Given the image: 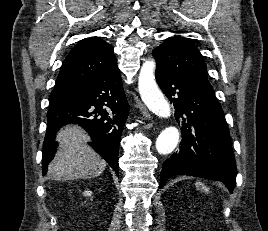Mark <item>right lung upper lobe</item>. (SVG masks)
<instances>
[{"mask_svg": "<svg viewBox=\"0 0 268 231\" xmlns=\"http://www.w3.org/2000/svg\"><path fill=\"white\" fill-rule=\"evenodd\" d=\"M117 62L113 47L98 37L78 42L65 58L55 89H77ZM53 107V106H50Z\"/></svg>", "mask_w": 268, "mask_h": 231, "instance_id": "1", "label": "right lung upper lobe"}]
</instances>
